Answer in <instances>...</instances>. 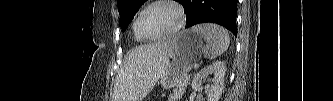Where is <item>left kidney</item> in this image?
<instances>
[{
    "label": "left kidney",
    "mask_w": 333,
    "mask_h": 101,
    "mask_svg": "<svg viewBox=\"0 0 333 101\" xmlns=\"http://www.w3.org/2000/svg\"><path fill=\"white\" fill-rule=\"evenodd\" d=\"M225 63L215 61L211 65L201 69L193 78L191 87L194 90H207V101H219L224 88ZM213 76L212 83L208 87L203 86V80Z\"/></svg>",
    "instance_id": "left-kidney-1"
}]
</instances>
